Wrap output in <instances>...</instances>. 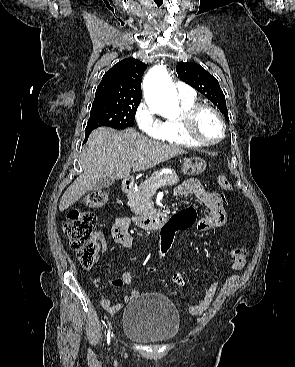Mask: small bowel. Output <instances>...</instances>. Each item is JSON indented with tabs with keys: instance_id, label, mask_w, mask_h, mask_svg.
Here are the masks:
<instances>
[{
	"instance_id": "1",
	"label": "small bowel",
	"mask_w": 295,
	"mask_h": 367,
	"mask_svg": "<svg viewBox=\"0 0 295 367\" xmlns=\"http://www.w3.org/2000/svg\"><path fill=\"white\" fill-rule=\"evenodd\" d=\"M176 196H192L198 200V202L205 208V212L198 221L197 227L200 232H207L212 229L222 227L226 222V213L220 200L219 196H213L211 192L206 191L200 182L196 179H187L182 182L175 189ZM130 219L124 216H118L114 219L111 227V235L114 240L126 249H130L133 245V237L130 234ZM97 237L101 240L102 253L107 249V244L101 234H97ZM243 264H237L233 262L232 269L240 270ZM175 281L178 284L183 283L182 277L177 274L175 275ZM96 285H101V280H96ZM110 285L115 287H121L123 285L132 284V274L129 271H124L120 278L114 279L108 282ZM218 282L211 283L202 300L189 308L191 315H201L211 304L216 291L218 289ZM138 295V292L133 289L129 295L124 299V302L114 303L110 298H103L101 300V306L110 315H115L118 310L122 307L123 303H127L134 299Z\"/></svg>"
}]
</instances>
